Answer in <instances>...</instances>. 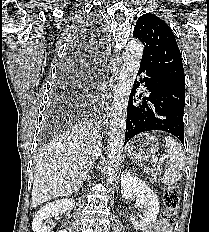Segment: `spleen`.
<instances>
[{"mask_svg": "<svg viewBox=\"0 0 209 232\" xmlns=\"http://www.w3.org/2000/svg\"><path fill=\"white\" fill-rule=\"evenodd\" d=\"M165 151L168 153V161L166 164L163 183L168 186L176 184L182 177L181 171L185 167V154L181 145L171 136H166Z\"/></svg>", "mask_w": 209, "mask_h": 232, "instance_id": "spleen-1", "label": "spleen"}]
</instances>
